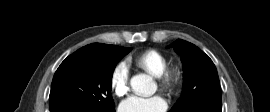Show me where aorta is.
Wrapping results in <instances>:
<instances>
[{
  "mask_svg": "<svg viewBox=\"0 0 270 112\" xmlns=\"http://www.w3.org/2000/svg\"><path fill=\"white\" fill-rule=\"evenodd\" d=\"M132 90L139 95H152L156 91V85L152 79L145 74L134 75L130 80Z\"/></svg>",
  "mask_w": 270,
  "mask_h": 112,
  "instance_id": "aorta-1",
  "label": "aorta"
}]
</instances>
